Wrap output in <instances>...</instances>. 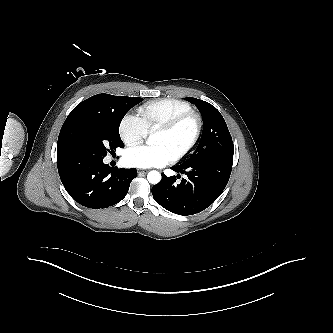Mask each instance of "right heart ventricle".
<instances>
[{
	"instance_id": "obj_1",
	"label": "right heart ventricle",
	"mask_w": 333,
	"mask_h": 333,
	"mask_svg": "<svg viewBox=\"0 0 333 333\" xmlns=\"http://www.w3.org/2000/svg\"><path fill=\"white\" fill-rule=\"evenodd\" d=\"M191 110V105L186 101L164 98L146 102L138 108V114L147 131L151 132L172 118Z\"/></svg>"
}]
</instances>
